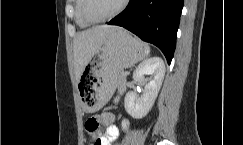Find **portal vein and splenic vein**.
<instances>
[{
    "label": "portal vein and splenic vein",
    "mask_w": 243,
    "mask_h": 145,
    "mask_svg": "<svg viewBox=\"0 0 243 145\" xmlns=\"http://www.w3.org/2000/svg\"><path fill=\"white\" fill-rule=\"evenodd\" d=\"M124 76H126L127 74L126 73H123Z\"/></svg>",
    "instance_id": "18ae733b"
}]
</instances>
